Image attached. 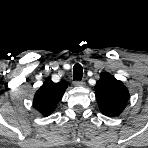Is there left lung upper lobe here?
<instances>
[{"label": "left lung upper lobe", "mask_w": 148, "mask_h": 148, "mask_svg": "<svg viewBox=\"0 0 148 148\" xmlns=\"http://www.w3.org/2000/svg\"><path fill=\"white\" fill-rule=\"evenodd\" d=\"M100 111L109 117L120 115L130 98L125 85L108 72H103L95 86Z\"/></svg>", "instance_id": "left-lung-upper-lobe-1"}]
</instances>
